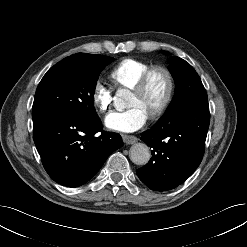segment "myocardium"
<instances>
[{"instance_id":"f54148a6","label":"myocardium","mask_w":247,"mask_h":247,"mask_svg":"<svg viewBox=\"0 0 247 247\" xmlns=\"http://www.w3.org/2000/svg\"><path fill=\"white\" fill-rule=\"evenodd\" d=\"M156 72H161L165 75L167 79V90L159 107L149 115L151 119L160 117L167 110L173 99L175 91V79L172 72L164 66H152L142 74L135 86L132 88L134 93L143 94L148 86L150 78Z\"/></svg>"}]
</instances>
